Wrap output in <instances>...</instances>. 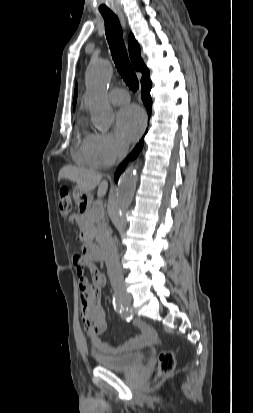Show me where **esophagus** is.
<instances>
[{
    "label": "esophagus",
    "mask_w": 253,
    "mask_h": 413,
    "mask_svg": "<svg viewBox=\"0 0 253 413\" xmlns=\"http://www.w3.org/2000/svg\"><path fill=\"white\" fill-rule=\"evenodd\" d=\"M118 15H119V18H120V20H121L122 25L125 27V25H126V20H125L124 15H123L122 13H119Z\"/></svg>",
    "instance_id": "esophagus-1"
}]
</instances>
